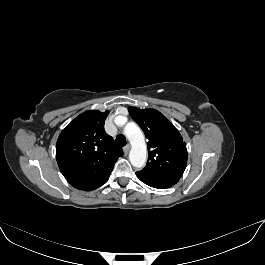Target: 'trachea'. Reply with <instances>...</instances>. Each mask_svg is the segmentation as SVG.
<instances>
[{"label": "trachea", "instance_id": "3493384b", "mask_svg": "<svg viewBox=\"0 0 265 265\" xmlns=\"http://www.w3.org/2000/svg\"><path fill=\"white\" fill-rule=\"evenodd\" d=\"M116 143L121 147L125 146L127 142H126V138L124 137V135H118L116 137Z\"/></svg>", "mask_w": 265, "mask_h": 265}]
</instances>
